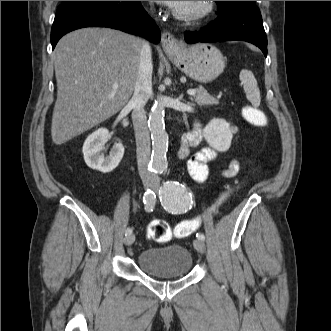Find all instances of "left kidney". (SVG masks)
<instances>
[{
	"label": "left kidney",
	"mask_w": 331,
	"mask_h": 331,
	"mask_svg": "<svg viewBox=\"0 0 331 331\" xmlns=\"http://www.w3.org/2000/svg\"><path fill=\"white\" fill-rule=\"evenodd\" d=\"M203 136L211 147L225 152L231 146L233 128L223 119H212L203 129Z\"/></svg>",
	"instance_id": "1"
}]
</instances>
